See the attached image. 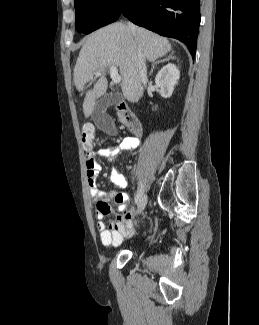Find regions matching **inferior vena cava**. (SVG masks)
Masks as SVG:
<instances>
[{
    "label": "inferior vena cava",
    "mask_w": 259,
    "mask_h": 325,
    "mask_svg": "<svg viewBox=\"0 0 259 325\" xmlns=\"http://www.w3.org/2000/svg\"><path fill=\"white\" fill-rule=\"evenodd\" d=\"M129 28L133 33L136 31V27L132 23H128ZM137 69L139 77L142 83L147 82V68L143 55L139 52L137 56Z\"/></svg>",
    "instance_id": "obj_1"
}]
</instances>
